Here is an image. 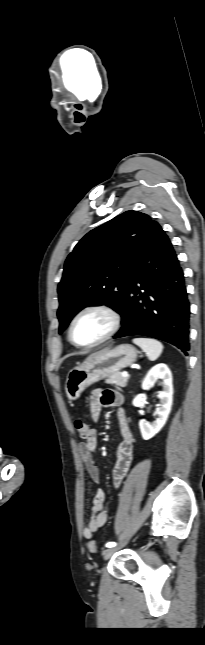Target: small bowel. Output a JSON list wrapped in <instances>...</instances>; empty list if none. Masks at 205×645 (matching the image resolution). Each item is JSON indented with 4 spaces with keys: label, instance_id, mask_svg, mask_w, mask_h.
<instances>
[{
    "label": "small bowel",
    "instance_id": "small-bowel-1",
    "mask_svg": "<svg viewBox=\"0 0 205 645\" xmlns=\"http://www.w3.org/2000/svg\"><path fill=\"white\" fill-rule=\"evenodd\" d=\"M123 397L120 393L114 390L96 389L92 392L89 401V408L91 417L94 421L99 419L101 410L104 407H119L117 416L121 428L123 440L117 447V459L113 469V483L117 487L125 478L133 460L134 452V436L130 428L127 416L121 405ZM98 443V434L96 429H90V436L85 442L77 445V451L81 458L86 471L94 482L99 481L100 473L98 466L93 458V452ZM108 519V512L105 506V491L97 487L94 492L92 500V513L90 520L83 528V536L86 539H91L93 534L105 523Z\"/></svg>",
    "mask_w": 205,
    "mask_h": 645
}]
</instances>
